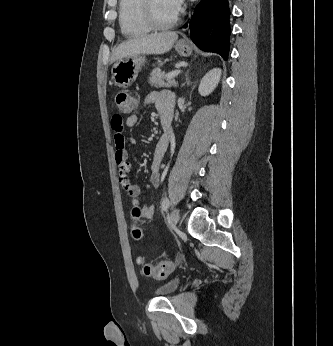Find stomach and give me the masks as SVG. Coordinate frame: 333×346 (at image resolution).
<instances>
[{
  "label": "stomach",
  "mask_w": 333,
  "mask_h": 346,
  "mask_svg": "<svg viewBox=\"0 0 333 346\" xmlns=\"http://www.w3.org/2000/svg\"><path fill=\"white\" fill-rule=\"evenodd\" d=\"M174 48L182 56H188L192 52L191 46L185 41H178ZM145 61V56L142 55H135L117 60L111 69L112 79L115 85L120 88H128L131 86L136 80Z\"/></svg>",
  "instance_id": "obj_1"
}]
</instances>
